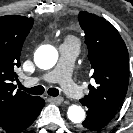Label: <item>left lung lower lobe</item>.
I'll return each instance as SVG.
<instances>
[{
    "instance_id": "obj_1",
    "label": "left lung lower lobe",
    "mask_w": 133,
    "mask_h": 133,
    "mask_svg": "<svg viewBox=\"0 0 133 133\" xmlns=\"http://www.w3.org/2000/svg\"><path fill=\"white\" fill-rule=\"evenodd\" d=\"M87 107V117L80 125L83 132L100 131L103 129L116 115V111L106 110L93 103L81 102Z\"/></svg>"
}]
</instances>
